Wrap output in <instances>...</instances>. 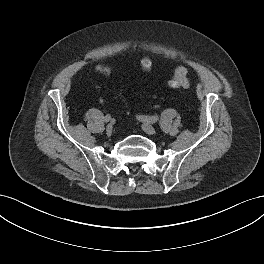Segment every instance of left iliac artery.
I'll use <instances>...</instances> for the list:
<instances>
[{
	"mask_svg": "<svg viewBox=\"0 0 264 264\" xmlns=\"http://www.w3.org/2000/svg\"><path fill=\"white\" fill-rule=\"evenodd\" d=\"M139 119L143 122H146V123H156L158 121V116H146V115H141L139 116Z\"/></svg>",
	"mask_w": 264,
	"mask_h": 264,
	"instance_id": "44dca946",
	"label": "left iliac artery"
}]
</instances>
